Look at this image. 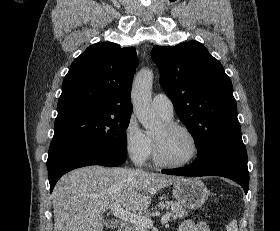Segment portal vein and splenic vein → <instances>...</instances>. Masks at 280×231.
<instances>
[{
  "mask_svg": "<svg viewBox=\"0 0 280 231\" xmlns=\"http://www.w3.org/2000/svg\"><path fill=\"white\" fill-rule=\"evenodd\" d=\"M111 211H113L116 217L119 219H123V221H130V223H139V225H144V227H152L153 221L150 217H145L142 213H131V211H125L123 207H111ZM172 213L166 211L164 215L161 217V223H167L171 217Z\"/></svg>",
  "mask_w": 280,
  "mask_h": 231,
  "instance_id": "18ae733b",
  "label": "portal vein and splenic vein"
}]
</instances>
